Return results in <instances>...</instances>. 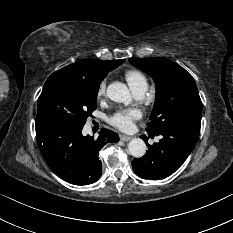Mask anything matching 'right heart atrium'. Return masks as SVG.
<instances>
[{
	"instance_id": "d8ad5b80",
	"label": "right heart atrium",
	"mask_w": 233,
	"mask_h": 233,
	"mask_svg": "<svg viewBox=\"0 0 233 233\" xmlns=\"http://www.w3.org/2000/svg\"><path fill=\"white\" fill-rule=\"evenodd\" d=\"M105 92H106V82L101 81L97 89L98 98L103 97L105 95Z\"/></svg>"
}]
</instances>
